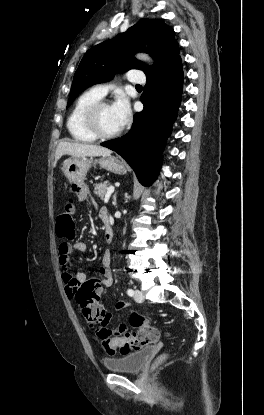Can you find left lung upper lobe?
Listing matches in <instances>:
<instances>
[{
	"label": "left lung upper lobe",
	"mask_w": 264,
	"mask_h": 415,
	"mask_svg": "<svg viewBox=\"0 0 264 415\" xmlns=\"http://www.w3.org/2000/svg\"><path fill=\"white\" fill-rule=\"evenodd\" d=\"M138 51L149 53L155 64L148 66L134 59L132 54ZM178 57L174 30L162 19H142L125 33L87 51L74 74L67 107L85 88L109 81L117 72L140 69L148 76Z\"/></svg>",
	"instance_id": "obj_1"
}]
</instances>
